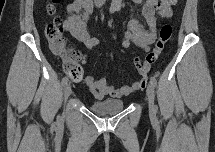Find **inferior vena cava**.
<instances>
[{"label":"inferior vena cava","mask_w":215,"mask_h":152,"mask_svg":"<svg viewBox=\"0 0 215 152\" xmlns=\"http://www.w3.org/2000/svg\"><path fill=\"white\" fill-rule=\"evenodd\" d=\"M100 4H104V0H98Z\"/></svg>","instance_id":"1"}]
</instances>
